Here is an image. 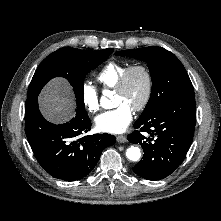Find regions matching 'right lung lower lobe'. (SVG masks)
Masks as SVG:
<instances>
[{"mask_svg":"<svg viewBox=\"0 0 221 221\" xmlns=\"http://www.w3.org/2000/svg\"><path fill=\"white\" fill-rule=\"evenodd\" d=\"M84 109L68 123L55 125L46 121L38 108L37 98L26 100L25 131L32 151L51 176L64 181L86 177L96 166L102 151L116 138L110 134L84 135L91 129Z\"/></svg>","mask_w":221,"mask_h":221,"instance_id":"98d812e1","label":"right lung lower lobe"}]
</instances>
